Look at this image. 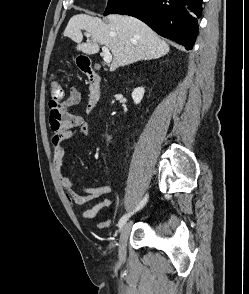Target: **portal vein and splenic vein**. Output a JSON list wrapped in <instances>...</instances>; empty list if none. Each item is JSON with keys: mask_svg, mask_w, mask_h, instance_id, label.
I'll return each mask as SVG.
<instances>
[{"mask_svg": "<svg viewBox=\"0 0 249 294\" xmlns=\"http://www.w3.org/2000/svg\"><path fill=\"white\" fill-rule=\"evenodd\" d=\"M102 51H103V54H104V56H103V60H104V62H105V63H110V62L112 61V55H111V53L109 52L108 47H107L106 45H104V46L102 47Z\"/></svg>", "mask_w": 249, "mask_h": 294, "instance_id": "1", "label": "portal vein and splenic vein"}]
</instances>
